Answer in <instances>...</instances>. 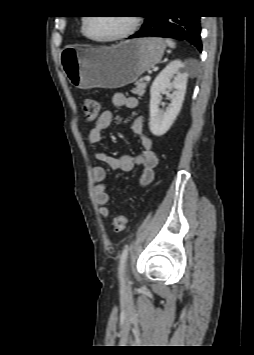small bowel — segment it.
I'll list each match as a JSON object with an SVG mask.
<instances>
[{"label": "small bowel", "instance_id": "c3829d8e", "mask_svg": "<svg viewBox=\"0 0 254 355\" xmlns=\"http://www.w3.org/2000/svg\"><path fill=\"white\" fill-rule=\"evenodd\" d=\"M111 103L115 107H125L135 109L138 106V100L135 97L126 96L123 93H115L112 96ZM113 114L109 110L102 111L94 122L88 133V141L96 145L101 141L103 132L112 123ZM132 131L138 137L141 145V153L136 157L129 155L110 156L103 152H96L97 160L107 163L113 169L130 172L135 166L140 167L141 171L138 177V184L146 186L151 183L154 177V170L158 164V157L153 150V144L150 138L145 134L143 118H136L132 123ZM92 176L95 181L94 195L97 204L100 206L99 214L102 218L110 216V210L107 204L110 196L107 192L104 181L106 179V170L104 167L95 166L92 168Z\"/></svg>", "mask_w": 254, "mask_h": 355}]
</instances>
